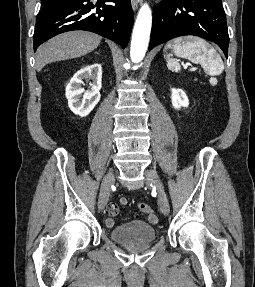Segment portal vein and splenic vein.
Returning a JSON list of instances; mask_svg holds the SVG:
<instances>
[{
    "mask_svg": "<svg viewBox=\"0 0 255 287\" xmlns=\"http://www.w3.org/2000/svg\"><path fill=\"white\" fill-rule=\"evenodd\" d=\"M188 66H190V64H185L184 70H187Z\"/></svg>",
    "mask_w": 255,
    "mask_h": 287,
    "instance_id": "obj_1",
    "label": "portal vein and splenic vein"
}]
</instances>
